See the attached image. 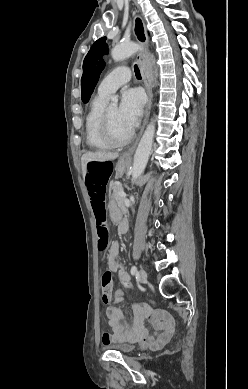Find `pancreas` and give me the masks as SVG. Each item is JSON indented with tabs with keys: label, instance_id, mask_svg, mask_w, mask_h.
<instances>
[{
	"label": "pancreas",
	"instance_id": "obj_1",
	"mask_svg": "<svg viewBox=\"0 0 248 389\" xmlns=\"http://www.w3.org/2000/svg\"><path fill=\"white\" fill-rule=\"evenodd\" d=\"M110 187L113 191V198L116 201L117 206L123 211H126V207L124 205V197L119 194V192L123 191L122 185L116 182L110 184Z\"/></svg>",
	"mask_w": 248,
	"mask_h": 389
}]
</instances>
